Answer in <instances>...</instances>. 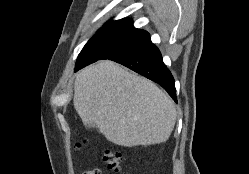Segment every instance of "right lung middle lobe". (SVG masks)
<instances>
[{"label":"right lung middle lobe","instance_id":"1","mask_svg":"<svg viewBox=\"0 0 249 174\" xmlns=\"http://www.w3.org/2000/svg\"><path fill=\"white\" fill-rule=\"evenodd\" d=\"M149 34L133 26H119L98 31L80 52L75 71L101 59H109L143 45Z\"/></svg>","mask_w":249,"mask_h":174}]
</instances>
